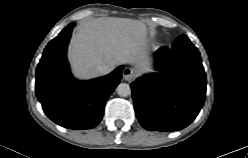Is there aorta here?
Masks as SVG:
<instances>
[{
    "label": "aorta",
    "instance_id": "obj_1",
    "mask_svg": "<svg viewBox=\"0 0 248 158\" xmlns=\"http://www.w3.org/2000/svg\"><path fill=\"white\" fill-rule=\"evenodd\" d=\"M116 91L118 95L123 96V97H126L131 94V88L129 84H126V83H120L117 86Z\"/></svg>",
    "mask_w": 248,
    "mask_h": 158
}]
</instances>
